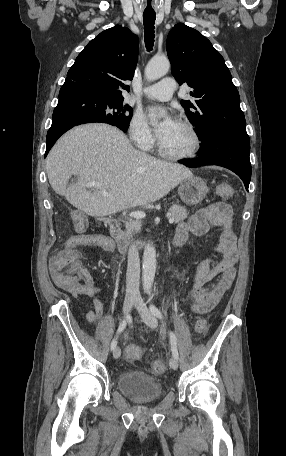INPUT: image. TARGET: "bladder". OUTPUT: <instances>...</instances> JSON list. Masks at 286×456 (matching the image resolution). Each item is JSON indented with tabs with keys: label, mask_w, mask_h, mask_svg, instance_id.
<instances>
[{
	"label": "bladder",
	"mask_w": 286,
	"mask_h": 456,
	"mask_svg": "<svg viewBox=\"0 0 286 456\" xmlns=\"http://www.w3.org/2000/svg\"><path fill=\"white\" fill-rule=\"evenodd\" d=\"M119 391L122 395L138 403L159 399L163 394L162 385L152 376L136 371L124 372L119 376Z\"/></svg>",
	"instance_id": "bladder-1"
}]
</instances>
